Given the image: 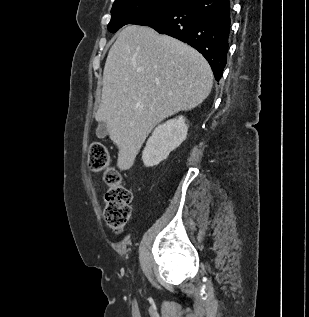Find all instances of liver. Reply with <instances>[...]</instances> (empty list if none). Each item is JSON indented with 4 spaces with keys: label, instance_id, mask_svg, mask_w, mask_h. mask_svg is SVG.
I'll use <instances>...</instances> for the list:
<instances>
[{
    "label": "liver",
    "instance_id": "6515ba94",
    "mask_svg": "<svg viewBox=\"0 0 309 317\" xmlns=\"http://www.w3.org/2000/svg\"><path fill=\"white\" fill-rule=\"evenodd\" d=\"M212 85L211 67L198 51L150 27L126 26L109 50L95 114L119 149L118 167L129 169L151 130L200 105Z\"/></svg>",
    "mask_w": 309,
    "mask_h": 317
}]
</instances>
